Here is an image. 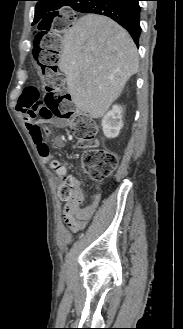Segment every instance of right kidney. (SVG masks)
<instances>
[{
  "instance_id": "obj_1",
  "label": "right kidney",
  "mask_w": 183,
  "mask_h": 329,
  "mask_svg": "<svg viewBox=\"0 0 183 329\" xmlns=\"http://www.w3.org/2000/svg\"><path fill=\"white\" fill-rule=\"evenodd\" d=\"M122 111L121 106L113 105L112 110L103 117L101 125L107 138H114L119 135L123 127Z\"/></svg>"
}]
</instances>
